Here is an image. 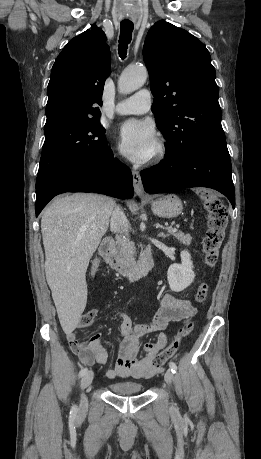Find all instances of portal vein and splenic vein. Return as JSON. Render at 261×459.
I'll use <instances>...</instances> for the list:
<instances>
[{
    "label": "portal vein and splenic vein",
    "mask_w": 261,
    "mask_h": 459,
    "mask_svg": "<svg viewBox=\"0 0 261 459\" xmlns=\"http://www.w3.org/2000/svg\"><path fill=\"white\" fill-rule=\"evenodd\" d=\"M168 230H169V231H174V232H176V231H177V228L169 227Z\"/></svg>",
    "instance_id": "portal-vein-and-splenic-vein-1"
}]
</instances>
